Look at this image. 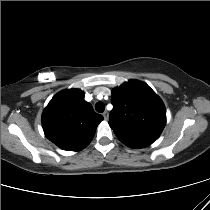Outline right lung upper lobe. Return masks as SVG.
Instances as JSON below:
<instances>
[{"mask_svg": "<svg viewBox=\"0 0 210 210\" xmlns=\"http://www.w3.org/2000/svg\"><path fill=\"white\" fill-rule=\"evenodd\" d=\"M84 96L80 89L61 91L43 111L42 127L46 137L64 150L85 148L103 120Z\"/></svg>", "mask_w": 210, "mask_h": 210, "instance_id": "right-lung-upper-lobe-1", "label": "right lung upper lobe"}]
</instances>
